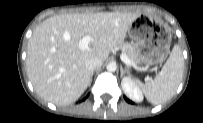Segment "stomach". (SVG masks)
Returning <instances> with one entry per match:
<instances>
[{"label": "stomach", "mask_w": 203, "mask_h": 123, "mask_svg": "<svg viewBox=\"0 0 203 123\" xmlns=\"http://www.w3.org/2000/svg\"><path fill=\"white\" fill-rule=\"evenodd\" d=\"M138 62L147 66L162 63L170 53L171 34L158 21L148 18L129 29Z\"/></svg>", "instance_id": "obj_1"}]
</instances>
